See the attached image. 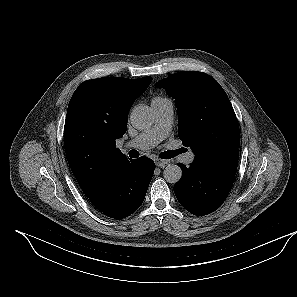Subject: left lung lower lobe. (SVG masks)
Returning <instances> with one entry per match:
<instances>
[{"label":"left lung lower lobe","mask_w":297,"mask_h":297,"mask_svg":"<svg viewBox=\"0 0 297 297\" xmlns=\"http://www.w3.org/2000/svg\"><path fill=\"white\" fill-rule=\"evenodd\" d=\"M239 150L233 149L206 162L182 163L183 176L174 186L179 203L190 213L204 216L218 209L227 198L237 170Z\"/></svg>","instance_id":"obj_1"}]
</instances>
